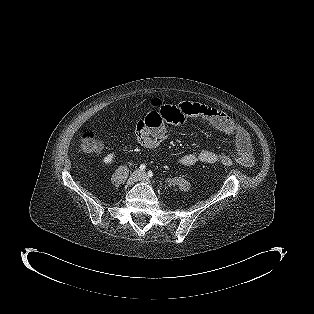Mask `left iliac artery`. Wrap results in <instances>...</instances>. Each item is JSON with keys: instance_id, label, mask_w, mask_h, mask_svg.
Returning <instances> with one entry per match:
<instances>
[{"instance_id": "1", "label": "left iliac artery", "mask_w": 314, "mask_h": 314, "mask_svg": "<svg viewBox=\"0 0 314 314\" xmlns=\"http://www.w3.org/2000/svg\"><path fill=\"white\" fill-rule=\"evenodd\" d=\"M148 176H149L150 178H152V177H153V172H152V171H148Z\"/></svg>"}]
</instances>
